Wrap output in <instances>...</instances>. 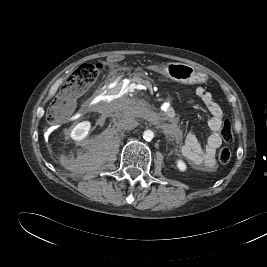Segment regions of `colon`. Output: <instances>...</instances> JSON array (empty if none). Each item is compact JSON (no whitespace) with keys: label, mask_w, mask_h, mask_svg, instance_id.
<instances>
[{"label":"colon","mask_w":267,"mask_h":267,"mask_svg":"<svg viewBox=\"0 0 267 267\" xmlns=\"http://www.w3.org/2000/svg\"><path fill=\"white\" fill-rule=\"evenodd\" d=\"M101 67L100 64H82L70 75L47 113V121L50 124L62 122L73 112L77 99L96 81ZM221 136L227 143L234 139L232 126L228 120L223 123ZM231 157V150L227 147L218 153V159L222 164H228Z\"/></svg>","instance_id":"1"}]
</instances>
